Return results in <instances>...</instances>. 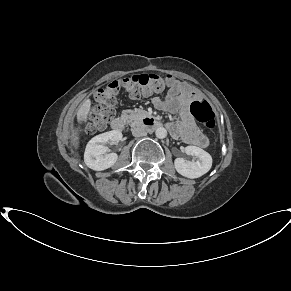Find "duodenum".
Segmentation results:
<instances>
[{"label":"duodenum","mask_w":291,"mask_h":291,"mask_svg":"<svg viewBox=\"0 0 291 291\" xmlns=\"http://www.w3.org/2000/svg\"><path fill=\"white\" fill-rule=\"evenodd\" d=\"M125 124V118L122 116L115 117L112 122L111 126L114 130L121 131ZM143 126L148 127L150 129H157L161 127V122L154 119L152 116H146L142 121Z\"/></svg>","instance_id":"obj_1"}]
</instances>
